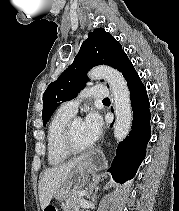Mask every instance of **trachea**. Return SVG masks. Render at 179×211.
<instances>
[{
    "label": "trachea",
    "mask_w": 179,
    "mask_h": 211,
    "mask_svg": "<svg viewBox=\"0 0 179 211\" xmlns=\"http://www.w3.org/2000/svg\"><path fill=\"white\" fill-rule=\"evenodd\" d=\"M103 101H110L108 98L104 99Z\"/></svg>",
    "instance_id": "1"
}]
</instances>
